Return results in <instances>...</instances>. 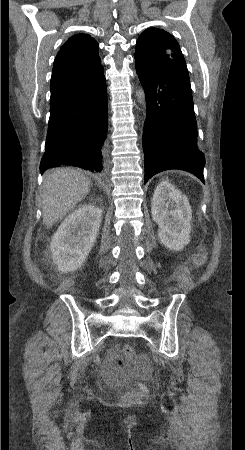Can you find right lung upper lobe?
I'll use <instances>...</instances> for the list:
<instances>
[{
  "label": "right lung upper lobe",
  "instance_id": "right-lung-upper-lobe-1",
  "mask_svg": "<svg viewBox=\"0 0 245 450\" xmlns=\"http://www.w3.org/2000/svg\"><path fill=\"white\" fill-rule=\"evenodd\" d=\"M101 67L98 43L89 35L72 36L55 58L50 101L78 86Z\"/></svg>",
  "mask_w": 245,
  "mask_h": 450
}]
</instances>
